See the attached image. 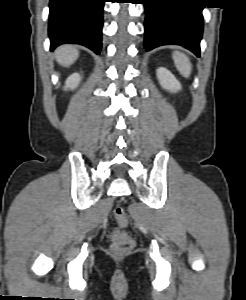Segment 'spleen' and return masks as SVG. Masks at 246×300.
I'll return each instance as SVG.
<instances>
[{
	"mask_svg": "<svg viewBox=\"0 0 246 300\" xmlns=\"http://www.w3.org/2000/svg\"><path fill=\"white\" fill-rule=\"evenodd\" d=\"M173 60L180 74L184 77H189L192 68L190 59L184 53L174 51Z\"/></svg>",
	"mask_w": 246,
	"mask_h": 300,
	"instance_id": "obj_1",
	"label": "spleen"
}]
</instances>
